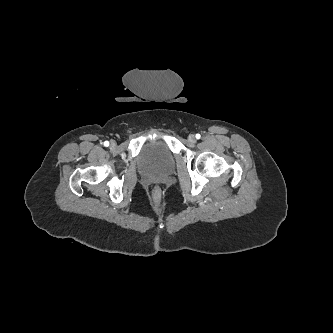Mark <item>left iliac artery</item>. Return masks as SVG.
Listing matches in <instances>:
<instances>
[{"instance_id":"left-iliac-artery-1","label":"left iliac artery","mask_w":333,"mask_h":333,"mask_svg":"<svg viewBox=\"0 0 333 333\" xmlns=\"http://www.w3.org/2000/svg\"><path fill=\"white\" fill-rule=\"evenodd\" d=\"M201 135L200 134H196V138L200 139Z\"/></svg>"}]
</instances>
